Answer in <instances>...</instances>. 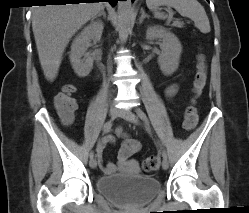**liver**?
Wrapping results in <instances>:
<instances>
[{
	"instance_id": "obj_1",
	"label": "liver",
	"mask_w": 249,
	"mask_h": 213,
	"mask_svg": "<svg viewBox=\"0 0 249 213\" xmlns=\"http://www.w3.org/2000/svg\"><path fill=\"white\" fill-rule=\"evenodd\" d=\"M104 6L102 2L32 7V30L39 61L48 81H54L72 36Z\"/></svg>"
}]
</instances>
